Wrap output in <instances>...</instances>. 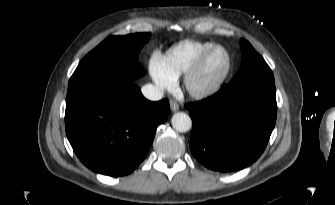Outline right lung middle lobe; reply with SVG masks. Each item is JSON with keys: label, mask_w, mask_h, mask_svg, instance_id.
I'll list each match as a JSON object with an SVG mask.
<instances>
[{"label": "right lung middle lobe", "mask_w": 335, "mask_h": 205, "mask_svg": "<svg viewBox=\"0 0 335 205\" xmlns=\"http://www.w3.org/2000/svg\"><path fill=\"white\" fill-rule=\"evenodd\" d=\"M150 36V33H136L106 38L79 63L68 89L96 79L130 82L143 76L138 54Z\"/></svg>", "instance_id": "dd1d6c3e"}]
</instances>
